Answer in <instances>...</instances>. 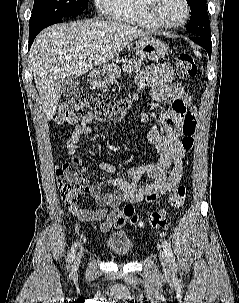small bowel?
Listing matches in <instances>:
<instances>
[{
	"label": "small bowel",
	"mask_w": 239,
	"mask_h": 303,
	"mask_svg": "<svg viewBox=\"0 0 239 303\" xmlns=\"http://www.w3.org/2000/svg\"><path fill=\"white\" fill-rule=\"evenodd\" d=\"M136 82L138 87H150L149 99L152 103L168 102L171 108L160 113V121L166 130L162 134L155 127H150L147 139L151 142L158 160L155 163L131 168L128 171L129 179L116 177L107 181H97L89 186L88 194L96 201L98 209H86L79 205L69 206V212L81 223L94 226L97 221L103 233H115L125 223V217L118 208L122 201L138 203L143 200L153 202L166 192L174 191L182 179L183 159L186 151L181 142L180 118L189 97L183 86L172 83V66L170 64L154 65L141 71ZM106 119L93 112H87L81 122L72 131L68 141V154L81 172L86 168L78 155L81 137L94 132L93 122H104ZM100 169L115 173L116 166L110 163H101ZM144 179H151L148 184H141ZM111 186L114 191L104 193L102 188Z\"/></svg>",
	"instance_id": "obj_1"
}]
</instances>
